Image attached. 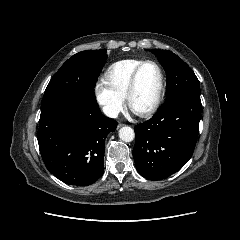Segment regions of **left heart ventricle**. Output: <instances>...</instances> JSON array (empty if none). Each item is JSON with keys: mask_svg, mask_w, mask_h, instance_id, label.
I'll return each mask as SVG.
<instances>
[{"mask_svg": "<svg viewBox=\"0 0 240 240\" xmlns=\"http://www.w3.org/2000/svg\"><path fill=\"white\" fill-rule=\"evenodd\" d=\"M159 73L152 64L145 65L137 79L136 89L131 99V106L135 111L147 109L155 99L159 87Z\"/></svg>", "mask_w": 240, "mask_h": 240, "instance_id": "1", "label": "left heart ventricle"}]
</instances>
